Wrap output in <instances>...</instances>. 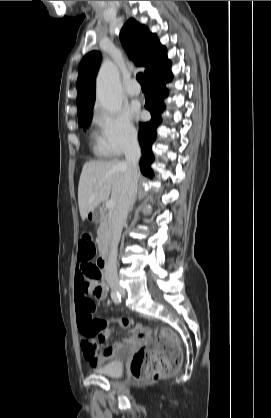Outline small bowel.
<instances>
[{
	"label": "small bowel",
	"instance_id": "obj_1",
	"mask_svg": "<svg viewBox=\"0 0 271 418\" xmlns=\"http://www.w3.org/2000/svg\"><path fill=\"white\" fill-rule=\"evenodd\" d=\"M106 295L102 267L94 265L93 261L76 262L74 299L78 332L81 333L80 346L84 358L94 367H100L107 361L126 354L130 346L138 345L145 338L143 327L137 326L135 336L129 341L108 344L111 332L104 326L103 315L94 314L97 312L96 300L102 301ZM117 324L121 328L129 329L134 322L131 318L122 317L117 320Z\"/></svg>",
	"mask_w": 271,
	"mask_h": 418
}]
</instances>
